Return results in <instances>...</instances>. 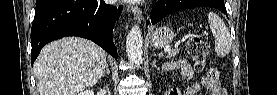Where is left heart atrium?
I'll list each match as a JSON object with an SVG mask.
<instances>
[{"label": "left heart atrium", "instance_id": "39dd6f15", "mask_svg": "<svg viewBox=\"0 0 277 95\" xmlns=\"http://www.w3.org/2000/svg\"><path fill=\"white\" fill-rule=\"evenodd\" d=\"M135 2H140L141 0H134Z\"/></svg>", "mask_w": 277, "mask_h": 95}]
</instances>
